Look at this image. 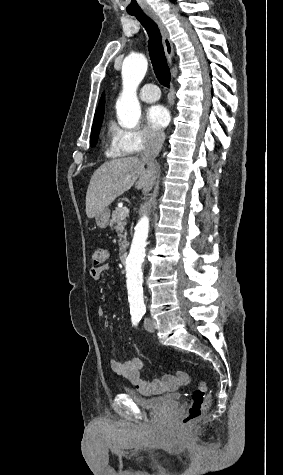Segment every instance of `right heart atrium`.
Masks as SVG:
<instances>
[{"label": "right heart atrium", "mask_w": 283, "mask_h": 475, "mask_svg": "<svg viewBox=\"0 0 283 475\" xmlns=\"http://www.w3.org/2000/svg\"><path fill=\"white\" fill-rule=\"evenodd\" d=\"M162 145V135L148 128H116L108 152L112 157L121 159L122 155H145Z\"/></svg>", "instance_id": "1"}]
</instances>
